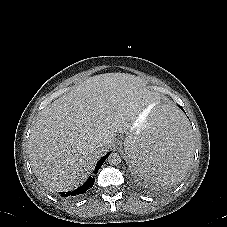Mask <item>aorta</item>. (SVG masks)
I'll return each mask as SVG.
<instances>
[{
    "mask_svg": "<svg viewBox=\"0 0 227 227\" xmlns=\"http://www.w3.org/2000/svg\"><path fill=\"white\" fill-rule=\"evenodd\" d=\"M108 162L110 165L117 166L121 163V157L117 153H111L108 157Z\"/></svg>",
    "mask_w": 227,
    "mask_h": 227,
    "instance_id": "1",
    "label": "aorta"
}]
</instances>
